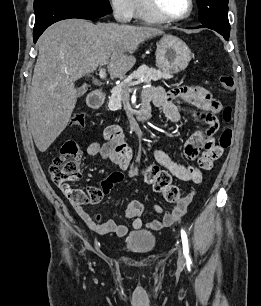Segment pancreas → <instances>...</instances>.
I'll use <instances>...</instances> for the list:
<instances>
[{"label":"pancreas","instance_id":"obj_1","mask_svg":"<svg viewBox=\"0 0 261 306\" xmlns=\"http://www.w3.org/2000/svg\"><path fill=\"white\" fill-rule=\"evenodd\" d=\"M170 78H172V75L168 71H160L148 67L147 65H142L136 71L131 73L124 82L111 90L108 107L112 111L118 110L122 107V102L129 98V93L131 91L129 84L133 79H138L140 82L150 84L151 81Z\"/></svg>","mask_w":261,"mask_h":306}]
</instances>
